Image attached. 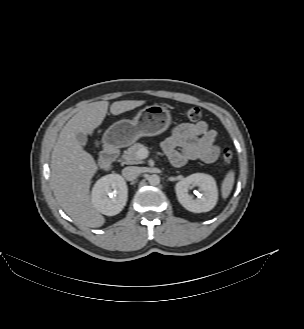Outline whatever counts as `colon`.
<instances>
[{"label":"colon","instance_id":"5ec220e1","mask_svg":"<svg viewBox=\"0 0 304 329\" xmlns=\"http://www.w3.org/2000/svg\"><path fill=\"white\" fill-rule=\"evenodd\" d=\"M186 117L191 121L197 122L201 119L202 112L199 108L192 107L186 111ZM222 158L224 162L230 163L234 158L233 150L229 147H224L222 150Z\"/></svg>","mask_w":304,"mask_h":329}]
</instances>
